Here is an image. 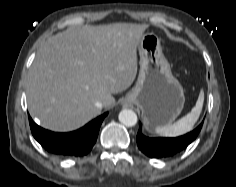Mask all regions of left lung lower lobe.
Instances as JSON below:
<instances>
[{"mask_svg":"<svg viewBox=\"0 0 236 187\" xmlns=\"http://www.w3.org/2000/svg\"><path fill=\"white\" fill-rule=\"evenodd\" d=\"M202 123L193 131L176 138H149L142 134L141 123L137 133V145L139 149L150 158L171 157L184 150L192 141L196 139Z\"/></svg>","mask_w":236,"mask_h":187,"instance_id":"left-lung-lower-lobe-1","label":"left lung lower lobe"}]
</instances>
